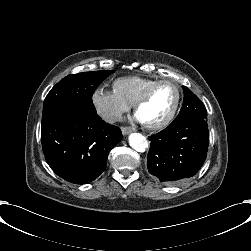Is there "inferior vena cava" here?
I'll list each match as a JSON object with an SVG mask.
<instances>
[{
	"label": "inferior vena cava",
	"mask_w": 251,
	"mask_h": 251,
	"mask_svg": "<svg viewBox=\"0 0 251 251\" xmlns=\"http://www.w3.org/2000/svg\"><path fill=\"white\" fill-rule=\"evenodd\" d=\"M102 118L108 123H115L118 121H122V114L119 112H110L107 114H103Z\"/></svg>",
	"instance_id": "1"
}]
</instances>
